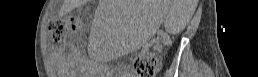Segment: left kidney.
I'll return each instance as SVG.
<instances>
[{
  "mask_svg": "<svg viewBox=\"0 0 258 77\" xmlns=\"http://www.w3.org/2000/svg\"><path fill=\"white\" fill-rule=\"evenodd\" d=\"M194 6L189 8L188 10H176L175 13H173V24L180 23L182 25H186L189 20L191 19L194 11H195V6L197 4V0H194Z\"/></svg>",
  "mask_w": 258,
  "mask_h": 77,
  "instance_id": "left-kidney-1",
  "label": "left kidney"
}]
</instances>
